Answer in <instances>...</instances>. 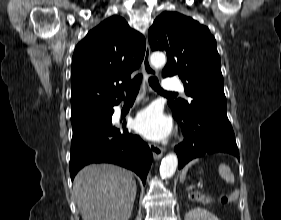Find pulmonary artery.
Returning <instances> with one entry per match:
<instances>
[{"label":"pulmonary artery","mask_w":281,"mask_h":220,"mask_svg":"<svg viewBox=\"0 0 281 220\" xmlns=\"http://www.w3.org/2000/svg\"><path fill=\"white\" fill-rule=\"evenodd\" d=\"M162 86L166 91H183V86L181 82L176 79H164Z\"/></svg>","instance_id":"pulmonary-artery-1"}]
</instances>
